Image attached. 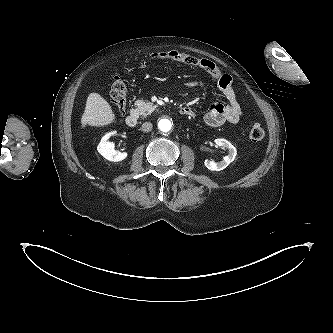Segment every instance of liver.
<instances>
[{
    "mask_svg": "<svg viewBox=\"0 0 333 333\" xmlns=\"http://www.w3.org/2000/svg\"><path fill=\"white\" fill-rule=\"evenodd\" d=\"M115 120V114L110 104L98 93H90L81 117V127L106 126Z\"/></svg>",
    "mask_w": 333,
    "mask_h": 333,
    "instance_id": "liver-1",
    "label": "liver"
}]
</instances>
